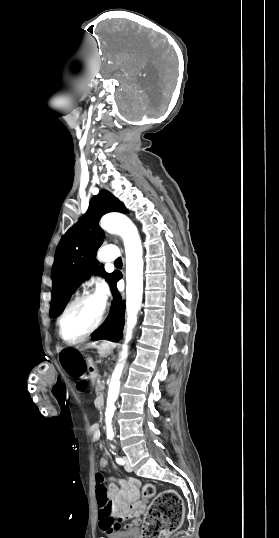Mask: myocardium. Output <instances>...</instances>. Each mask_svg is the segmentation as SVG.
I'll return each mask as SVG.
<instances>
[{"instance_id":"1","label":"myocardium","mask_w":279,"mask_h":538,"mask_svg":"<svg viewBox=\"0 0 279 538\" xmlns=\"http://www.w3.org/2000/svg\"><path fill=\"white\" fill-rule=\"evenodd\" d=\"M99 229H100V231H105V228L101 224H99ZM95 297H97V294L93 290H85L82 293H80L79 295H77L75 298H73L65 306L62 313L59 315V317L57 319L58 334H59L60 338L63 340V342H65L66 344L75 345V344L83 342L85 339H87L89 336H91L95 331H97L98 328L101 326V324H102V322H103V320L105 318V314H106V308H105L104 305H101L99 314H98L94 324L84 334H82L80 337H78L74 341H68L63 335V321H64V318L66 317V315L68 314V312L70 311V309L73 306H75L78 302H80V301H82L84 299L95 298Z\"/></svg>"}]
</instances>
